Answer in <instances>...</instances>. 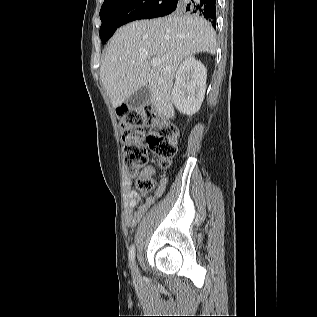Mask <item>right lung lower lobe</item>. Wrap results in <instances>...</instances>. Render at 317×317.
Returning a JSON list of instances; mask_svg holds the SVG:
<instances>
[{"instance_id":"98d812e1","label":"right lung lower lobe","mask_w":317,"mask_h":317,"mask_svg":"<svg viewBox=\"0 0 317 317\" xmlns=\"http://www.w3.org/2000/svg\"><path fill=\"white\" fill-rule=\"evenodd\" d=\"M182 0H171L167 5L179 4ZM184 10L199 13L208 19L216 28V0H183ZM166 5V6H167Z\"/></svg>"}]
</instances>
